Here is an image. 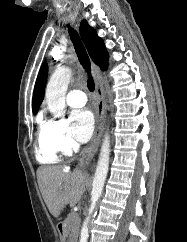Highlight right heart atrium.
I'll return each mask as SVG.
<instances>
[{
    "label": "right heart atrium",
    "instance_id": "1",
    "mask_svg": "<svg viewBox=\"0 0 187 242\" xmlns=\"http://www.w3.org/2000/svg\"><path fill=\"white\" fill-rule=\"evenodd\" d=\"M44 130L48 142L57 152L67 155L76 149L77 144L65 121L49 120L45 123Z\"/></svg>",
    "mask_w": 187,
    "mask_h": 242
}]
</instances>
